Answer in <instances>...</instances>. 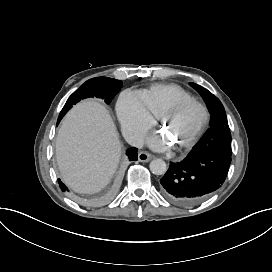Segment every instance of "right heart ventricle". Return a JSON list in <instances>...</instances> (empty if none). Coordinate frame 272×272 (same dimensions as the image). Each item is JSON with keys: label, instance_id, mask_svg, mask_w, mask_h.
<instances>
[{"label": "right heart ventricle", "instance_id": "obj_1", "mask_svg": "<svg viewBox=\"0 0 272 272\" xmlns=\"http://www.w3.org/2000/svg\"><path fill=\"white\" fill-rule=\"evenodd\" d=\"M152 113L160 116L162 111L176 99L193 100V97L186 92L183 88L174 85H155L149 90L142 91L141 94Z\"/></svg>", "mask_w": 272, "mask_h": 272}]
</instances>
